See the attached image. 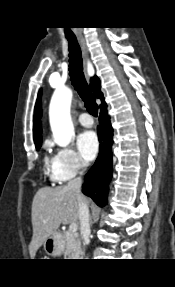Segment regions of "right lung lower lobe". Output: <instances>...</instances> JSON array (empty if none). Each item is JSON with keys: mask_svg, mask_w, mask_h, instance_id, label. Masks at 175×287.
<instances>
[{"mask_svg": "<svg viewBox=\"0 0 175 287\" xmlns=\"http://www.w3.org/2000/svg\"><path fill=\"white\" fill-rule=\"evenodd\" d=\"M98 137L100 142L99 156L85 175L82 192L103 207L107 204L108 185L112 177V144L113 128L107 113V105L100 108Z\"/></svg>", "mask_w": 175, "mask_h": 287, "instance_id": "98d812e1", "label": "right lung lower lobe"}]
</instances>
